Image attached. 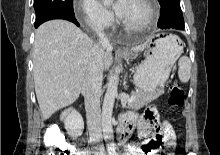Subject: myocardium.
Segmentation results:
<instances>
[{
    "label": "myocardium",
    "mask_w": 220,
    "mask_h": 155,
    "mask_svg": "<svg viewBox=\"0 0 220 155\" xmlns=\"http://www.w3.org/2000/svg\"><path fill=\"white\" fill-rule=\"evenodd\" d=\"M141 1L146 5L148 9L147 20L143 24L138 26L129 25L123 20H121V25L123 26L124 29L133 32H140L149 28L154 23L157 16V5L155 0H141Z\"/></svg>",
    "instance_id": "myocardium-1"
}]
</instances>
